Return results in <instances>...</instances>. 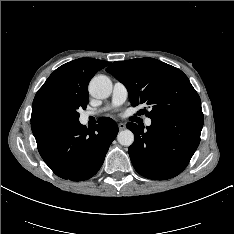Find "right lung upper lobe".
<instances>
[{
	"label": "right lung upper lobe",
	"mask_w": 234,
	"mask_h": 234,
	"mask_svg": "<svg viewBox=\"0 0 234 234\" xmlns=\"http://www.w3.org/2000/svg\"><path fill=\"white\" fill-rule=\"evenodd\" d=\"M110 62L80 58L57 68L38 90L32 104L31 123L45 118L48 102L61 95H88V83L94 74Z\"/></svg>",
	"instance_id": "right-lung-upper-lobe-1"
}]
</instances>
